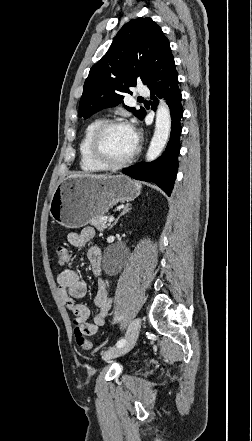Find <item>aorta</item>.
Here are the masks:
<instances>
[{"mask_svg": "<svg viewBox=\"0 0 252 441\" xmlns=\"http://www.w3.org/2000/svg\"><path fill=\"white\" fill-rule=\"evenodd\" d=\"M171 130V116L164 100H161L156 111L155 131L147 154V162L155 160L163 151Z\"/></svg>", "mask_w": 252, "mask_h": 441, "instance_id": "762f6f07", "label": "aorta"}]
</instances>
